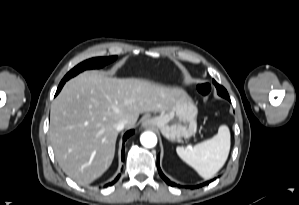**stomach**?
Listing matches in <instances>:
<instances>
[{"label":"stomach","mask_w":299,"mask_h":205,"mask_svg":"<svg viewBox=\"0 0 299 205\" xmlns=\"http://www.w3.org/2000/svg\"><path fill=\"white\" fill-rule=\"evenodd\" d=\"M197 107L183 92L175 104L159 116L148 118L147 124L157 127L170 141H179L195 134L197 129Z\"/></svg>","instance_id":"1"}]
</instances>
